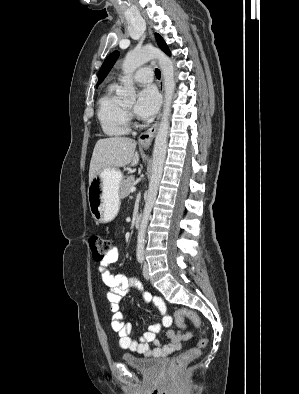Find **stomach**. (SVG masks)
Listing matches in <instances>:
<instances>
[{
	"label": "stomach",
	"instance_id": "stomach-1",
	"mask_svg": "<svg viewBox=\"0 0 299 394\" xmlns=\"http://www.w3.org/2000/svg\"><path fill=\"white\" fill-rule=\"evenodd\" d=\"M123 173L118 169H103L89 183L88 202L97 223L112 221L120 207V188Z\"/></svg>",
	"mask_w": 299,
	"mask_h": 394
}]
</instances>
